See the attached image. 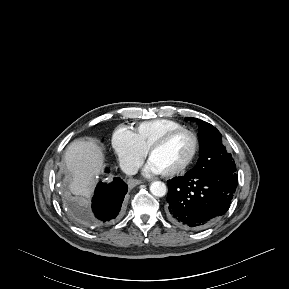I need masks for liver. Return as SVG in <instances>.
<instances>
[{"instance_id": "obj_1", "label": "liver", "mask_w": 289, "mask_h": 289, "mask_svg": "<svg viewBox=\"0 0 289 289\" xmlns=\"http://www.w3.org/2000/svg\"><path fill=\"white\" fill-rule=\"evenodd\" d=\"M69 171V189L75 195L89 198L95 187L97 175L103 169V152L93 141L77 140L65 152Z\"/></svg>"}]
</instances>
